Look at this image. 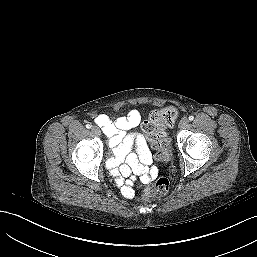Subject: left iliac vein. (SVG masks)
Instances as JSON below:
<instances>
[{
    "label": "left iliac vein",
    "instance_id": "left-iliac-vein-1",
    "mask_svg": "<svg viewBox=\"0 0 257 257\" xmlns=\"http://www.w3.org/2000/svg\"><path fill=\"white\" fill-rule=\"evenodd\" d=\"M189 120L187 118H182L179 122V128L184 129L188 126Z\"/></svg>",
    "mask_w": 257,
    "mask_h": 257
}]
</instances>
